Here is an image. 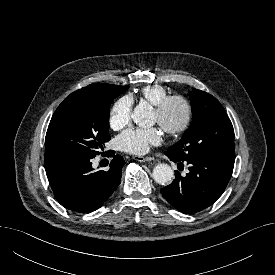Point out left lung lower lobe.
<instances>
[{
    "label": "left lung lower lobe",
    "mask_w": 275,
    "mask_h": 275,
    "mask_svg": "<svg viewBox=\"0 0 275 275\" xmlns=\"http://www.w3.org/2000/svg\"><path fill=\"white\" fill-rule=\"evenodd\" d=\"M175 163L189 165V173L175 172L173 182L162 188L164 198L182 213H195L211 206L224 192L233 172L234 160L198 155L182 161L167 151Z\"/></svg>",
    "instance_id": "1"
}]
</instances>
